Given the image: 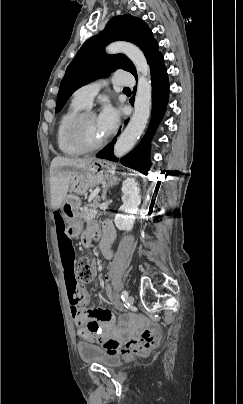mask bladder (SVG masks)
<instances>
[{
	"label": "bladder",
	"mask_w": 243,
	"mask_h": 404,
	"mask_svg": "<svg viewBox=\"0 0 243 404\" xmlns=\"http://www.w3.org/2000/svg\"><path fill=\"white\" fill-rule=\"evenodd\" d=\"M77 351L81 360L88 364H98L106 368H118L122 365L119 355L108 352L102 347L90 343H79Z\"/></svg>",
	"instance_id": "obj_1"
}]
</instances>
